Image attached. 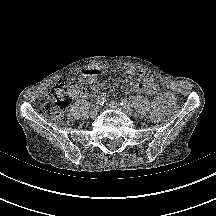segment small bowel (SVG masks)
<instances>
[{
  "label": "small bowel",
  "instance_id": "obj_1",
  "mask_svg": "<svg viewBox=\"0 0 216 216\" xmlns=\"http://www.w3.org/2000/svg\"><path fill=\"white\" fill-rule=\"evenodd\" d=\"M124 75L128 79H132L135 76V72L132 69H128L124 72ZM129 86L135 92H143L155 97L151 116L152 119L159 120L165 113L166 106L170 103V97L172 94L160 92L158 85L148 74L145 73L139 74L137 82L130 81ZM102 88L103 86L98 84L84 88L78 87L72 96L90 97L96 94Z\"/></svg>",
  "mask_w": 216,
  "mask_h": 216
}]
</instances>
